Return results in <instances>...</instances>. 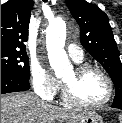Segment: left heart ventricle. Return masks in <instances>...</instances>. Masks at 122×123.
I'll list each match as a JSON object with an SVG mask.
<instances>
[{
	"label": "left heart ventricle",
	"instance_id": "left-heart-ventricle-1",
	"mask_svg": "<svg viewBox=\"0 0 122 123\" xmlns=\"http://www.w3.org/2000/svg\"><path fill=\"white\" fill-rule=\"evenodd\" d=\"M63 81L70 84L76 96L85 102H101L108 95V84L97 71H88L78 78L72 70L63 77Z\"/></svg>",
	"mask_w": 122,
	"mask_h": 123
}]
</instances>
